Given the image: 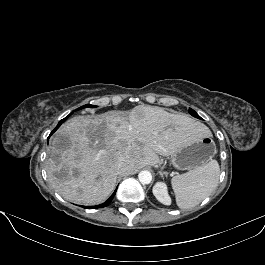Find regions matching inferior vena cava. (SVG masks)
Returning <instances> with one entry per match:
<instances>
[{
  "mask_svg": "<svg viewBox=\"0 0 265 265\" xmlns=\"http://www.w3.org/2000/svg\"><path fill=\"white\" fill-rule=\"evenodd\" d=\"M118 166L121 171H124L126 169V163L123 160L119 161Z\"/></svg>",
  "mask_w": 265,
  "mask_h": 265,
  "instance_id": "obj_1",
  "label": "inferior vena cava"
}]
</instances>
